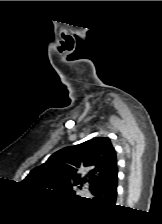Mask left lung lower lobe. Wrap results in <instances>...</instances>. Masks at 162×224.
<instances>
[{
    "mask_svg": "<svg viewBox=\"0 0 162 224\" xmlns=\"http://www.w3.org/2000/svg\"><path fill=\"white\" fill-rule=\"evenodd\" d=\"M117 173L113 172L106 181L92 191L93 201L100 203L114 204L117 196Z\"/></svg>",
    "mask_w": 162,
    "mask_h": 224,
    "instance_id": "1",
    "label": "left lung lower lobe"
}]
</instances>
